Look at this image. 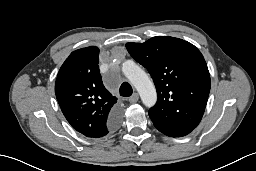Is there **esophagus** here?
Here are the masks:
<instances>
[{"mask_svg": "<svg viewBox=\"0 0 256 171\" xmlns=\"http://www.w3.org/2000/svg\"><path fill=\"white\" fill-rule=\"evenodd\" d=\"M139 99V95L137 93H134L131 97L128 98V101L130 103H136Z\"/></svg>", "mask_w": 256, "mask_h": 171, "instance_id": "34e87169", "label": "esophagus"}]
</instances>
